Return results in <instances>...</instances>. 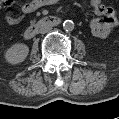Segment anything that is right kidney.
Listing matches in <instances>:
<instances>
[{"mask_svg":"<svg viewBox=\"0 0 119 119\" xmlns=\"http://www.w3.org/2000/svg\"><path fill=\"white\" fill-rule=\"evenodd\" d=\"M29 53L27 45L16 43L12 45L6 52L5 57L11 64H18L23 62Z\"/></svg>","mask_w":119,"mask_h":119,"instance_id":"obj_1","label":"right kidney"}]
</instances>
